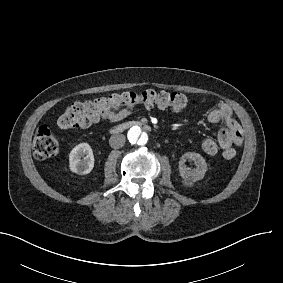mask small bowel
I'll return each instance as SVG.
<instances>
[{
	"label": "small bowel",
	"mask_w": 283,
	"mask_h": 283,
	"mask_svg": "<svg viewBox=\"0 0 283 283\" xmlns=\"http://www.w3.org/2000/svg\"><path fill=\"white\" fill-rule=\"evenodd\" d=\"M202 104L207 102L206 98L200 100ZM130 109L107 111L103 119L110 122H119L126 118ZM207 121L211 124L222 123L224 127L218 132L217 139L222 146L221 156L225 160H232L236 156L235 146L243 143V132L240 124L233 116L232 109L224 102H218L208 113Z\"/></svg>",
	"instance_id": "obj_1"
}]
</instances>
